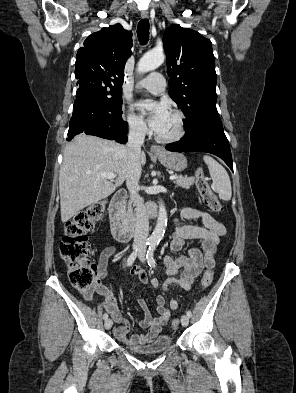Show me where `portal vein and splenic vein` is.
Listing matches in <instances>:
<instances>
[{"label": "portal vein and splenic vein", "instance_id": "obj_1", "mask_svg": "<svg viewBox=\"0 0 296 393\" xmlns=\"http://www.w3.org/2000/svg\"><path fill=\"white\" fill-rule=\"evenodd\" d=\"M98 175L100 177H103V178H106V179H109V180H113L116 177V175L114 173H101V174H98ZM176 179H177L176 175H172V176L169 177L170 181H174Z\"/></svg>", "mask_w": 296, "mask_h": 393}]
</instances>
